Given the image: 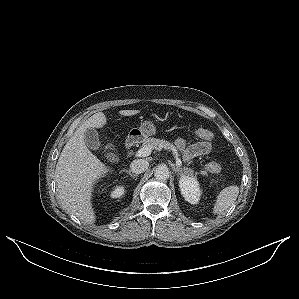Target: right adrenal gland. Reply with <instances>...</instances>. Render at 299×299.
Instances as JSON below:
<instances>
[{"mask_svg":"<svg viewBox=\"0 0 299 299\" xmlns=\"http://www.w3.org/2000/svg\"><path fill=\"white\" fill-rule=\"evenodd\" d=\"M124 172H126L129 176H131L132 178H137L138 177V175H136V174H133L130 170L128 171V170H124Z\"/></svg>","mask_w":299,"mask_h":299,"instance_id":"2a0ac1e0","label":"right adrenal gland"}]
</instances>
